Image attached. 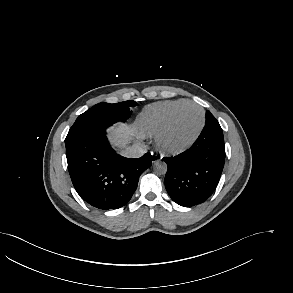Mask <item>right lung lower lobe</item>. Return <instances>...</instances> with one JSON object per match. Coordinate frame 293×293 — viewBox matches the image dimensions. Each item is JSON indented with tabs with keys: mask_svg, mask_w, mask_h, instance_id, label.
<instances>
[{
	"mask_svg": "<svg viewBox=\"0 0 293 293\" xmlns=\"http://www.w3.org/2000/svg\"><path fill=\"white\" fill-rule=\"evenodd\" d=\"M106 128L86 132L66 144L68 170L77 193L103 210L127 204L139 176L151 166L149 154L137 159L116 154L105 136Z\"/></svg>",
	"mask_w": 293,
	"mask_h": 293,
	"instance_id": "98d812e1",
	"label": "right lung lower lobe"
}]
</instances>
